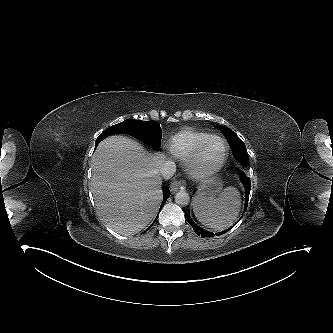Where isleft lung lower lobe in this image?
<instances>
[{
	"mask_svg": "<svg viewBox=\"0 0 333 333\" xmlns=\"http://www.w3.org/2000/svg\"><path fill=\"white\" fill-rule=\"evenodd\" d=\"M241 181L243 182L244 186H245V190H246V204H245V210L247 208V202H248V197H249V193H250V189H251V182H250V179L245 175L244 172H242L241 174ZM185 219L188 221V223L192 226L193 230L195 231V233L198 235V236H202V237H212L214 234L211 233V232H208V231H205L204 229L198 227L192 220H191V217H190V213L187 212L185 214ZM235 225V224H234ZM233 227V226H232ZM232 227H230L229 229L223 231V232H220V233H217L216 235H221L227 231H229Z\"/></svg>",
	"mask_w": 333,
	"mask_h": 333,
	"instance_id": "left-lung-lower-lobe-1",
	"label": "left lung lower lobe"
}]
</instances>
